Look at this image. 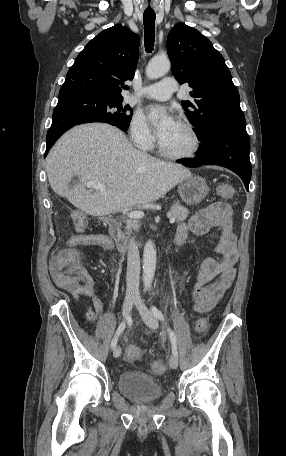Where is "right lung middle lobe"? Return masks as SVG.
Here are the masks:
<instances>
[{
  "instance_id": "1",
  "label": "right lung middle lobe",
  "mask_w": 286,
  "mask_h": 456,
  "mask_svg": "<svg viewBox=\"0 0 286 456\" xmlns=\"http://www.w3.org/2000/svg\"><path fill=\"white\" fill-rule=\"evenodd\" d=\"M91 114L95 122L108 123L126 131L132 118V109L129 105L122 107L120 100L99 98Z\"/></svg>"
}]
</instances>
